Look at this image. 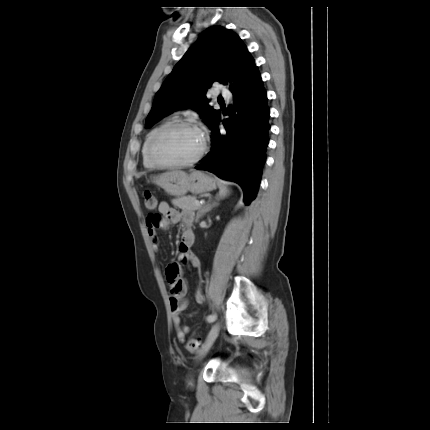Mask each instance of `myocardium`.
<instances>
[{
  "mask_svg": "<svg viewBox=\"0 0 430 430\" xmlns=\"http://www.w3.org/2000/svg\"><path fill=\"white\" fill-rule=\"evenodd\" d=\"M180 128H186V129H194L197 130L199 132L200 129L193 123L188 122V121H174V122H170L169 124H167L166 126H164L163 128H161L160 130H158L150 139L149 143H148V147H147V154L148 157L150 159V161L155 164L157 167L160 168H183V167H188L191 165L196 164L197 162H199L204 155L207 152V138L203 135V145L202 148L200 150V152L192 159L187 160V161H182V162H165L160 160L154 152V147L155 144L157 143L158 140H160L163 136H165L166 134H168L169 132L176 130V129H180Z\"/></svg>",
  "mask_w": 430,
  "mask_h": 430,
  "instance_id": "obj_1",
  "label": "myocardium"
}]
</instances>
